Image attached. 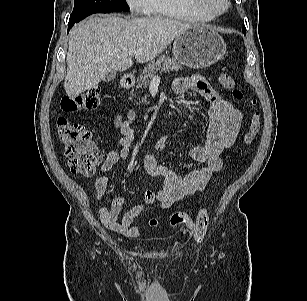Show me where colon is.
<instances>
[{
  "instance_id": "colon-1",
  "label": "colon",
  "mask_w": 307,
  "mask_h": 301,
  "mask_svg": "<svg viewBox=\"0 0 307 301\" xmlns=\"http://www.w3.org/2000/svg\"><path fill=\"white\" fill-rule=\"evenodd\" d=\"M220 83L224 89L229 90L236 100H242L243 91L237 86L236 81L229 74L220 75ZM101 94L99 88H91L73 98H64L61 107L65 112L80 110H93L99 107ZM58 132L64 146V153L68 159V166L73 173L82 176L95 174L97 165L102 160V154L96 146L89 129L83 125L69 121L65 118L58 119ZM261 117L258 111L252 113L249 126L244 137L246 147H250L256 140L260 130ZM209 221V209L202 208L193 221L187 212L179 211L170 216L169 223L172 227L188 226L195 237L202 236ZM151 226L157 225V220L150 221Z\"/></svg>"
}]
</instances>
